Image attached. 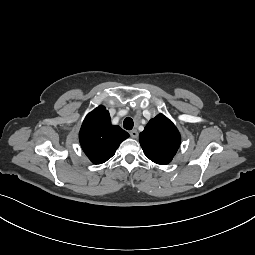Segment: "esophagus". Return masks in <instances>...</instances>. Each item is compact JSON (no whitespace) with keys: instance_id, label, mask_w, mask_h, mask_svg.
<instances>
[{"instance_id":"obj_1","label":"esophagus","mask_w":255,"mask_h":255,"mask_svg":"<svg viewBox=\"0 0 255 255\" xmlns=\"http://www.w3.org/2000/svg\"><path fill=\"white\" fill-rule=\"evenodd\" d=\"M130 136H131L132 138H137V137H138V132H137V130H136V129L131 130V131H130Z\"/></svg>"}]
</instances>
